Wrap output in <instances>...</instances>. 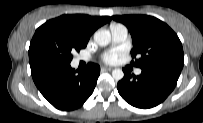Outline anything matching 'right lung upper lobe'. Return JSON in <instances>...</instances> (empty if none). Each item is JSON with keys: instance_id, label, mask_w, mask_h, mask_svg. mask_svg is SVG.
Masks as SVG:
<instances>
[{"instance_id": "cb5924a9", "label": "right lung upper lobe", "mask_w": 203, "mask_h": 123, "mask_svg": "<svg viewBox=\"0 0 203 123\" xmlns=\"http://www.w3.org/2000/svg\"><path fill=\"white\" fill-rule=\"evenodd\" d=\"M111 20L109 16H89L83 14L62 15L58 18L49 20L63 24L72 29L76 35L84 42L88 43L93 32Z\"/></svg>"}]
</instances>
